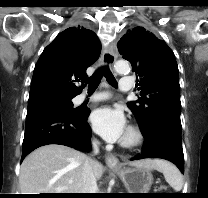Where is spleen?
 Masks as SVG:
<instances>
[{
  "instance_id": "spleen-1",
  "label": "spleen",
  "mask_w": 208,
  "mask_h": 198,
  "mask_svg": "<svg viewBox=\"0 0 208 198\" xmlns=\"http://www.w3.org/2000/svg\"><path fill=\"white\" fill-rule=\"evenodd\" d=\"M159 170L162 171L166 182L175 190L180 191L183 187V177L180 171L171 163L160 161Z\"/></svg>"
}]
</instances>
